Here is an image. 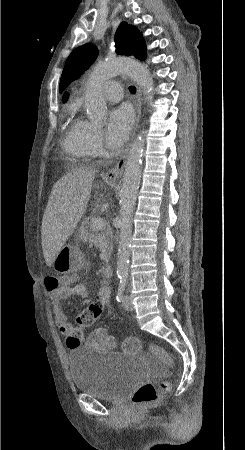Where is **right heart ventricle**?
Returning <instances> with one entry per match:
<instances>
[{
    "label": "right heart ventricle",
    "mask_w": 245,
    "mask_h": 450,
    "mask_svg": "<svg viewBox=\"0 0 245 450\" xmlns=\"http://www.w3.org/2000/svg\"><path fill=\"white\" fill-rule=\"evenodd\" d=\"M74 112L75 109L72 110V113ZM83 140V120L76 118L72 121L69 129L67 130L63 141V147L67 152L73 154L79 159H82L87 155Z\"/></svg>",
    "instance_id": "right-heart-ventricle-1"
}]
</instances>
